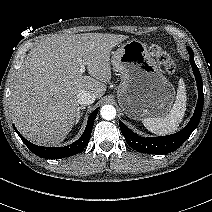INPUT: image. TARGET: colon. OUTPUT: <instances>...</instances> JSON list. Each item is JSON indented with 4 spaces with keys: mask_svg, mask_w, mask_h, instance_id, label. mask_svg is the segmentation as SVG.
<instances>
[{
    "mask_svg": "<svg viewBox=\"0 0 212 212\" xmlns=\"http://www.w3.org/2000/svg\"><path fill=\"white\" fill-rule=\"evenodd\" d=\"M149 53L156 58V60L164 67V69L171 73L175 70L176 65L171 55L161 46L151 44L148 46Z\"/></svg>",
    "mask_w": 212,
    "mask_h": 212,
    "instance_id": "5ec220e1",
    "label": "colon"
}]
</instances>
